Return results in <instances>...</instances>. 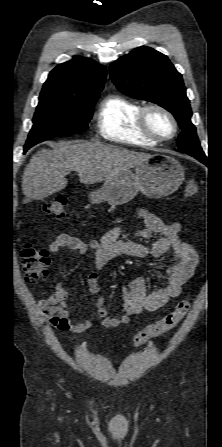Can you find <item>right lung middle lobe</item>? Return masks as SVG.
Segmentation results:
<instances>
[{"label": "right lung middle lobe", "mask_w": 222, "mask_h": 447, "mask_svg": "<svg viewBox=\"0 0 222 447\" xmlns=\"http://www.w3.org/2000/svg\"><path fill=\"white\" fill-rule=\"evenodd\" d=\"M98 97L99 94L75 96L61 91L42 90L24 149L27 151L52 137L85 131Z\"/></svg>", "instance_id": "obj_1"}]
</instances>
